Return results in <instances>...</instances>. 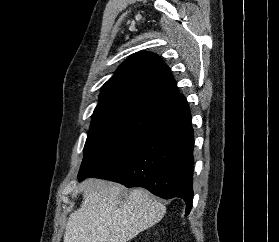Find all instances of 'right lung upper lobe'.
<instances>
[{
  "label": "right lung upper lobe",
  "instance_id": "cb5924a9",
  "mask_svg": "<svg viewBox=\"0 0 279 242\" xmlns=\"http://www.w3.org/2000/svg\"><path fill=\"white\" fill-rule=\"evenodd\" d=\"M185 105L168 66L154 53L139 52L103 85L94 114L136 111L160 116Z\"/></svg>",
  "mask_w": 279,
  "mask_h": 242
}]
</instances>
